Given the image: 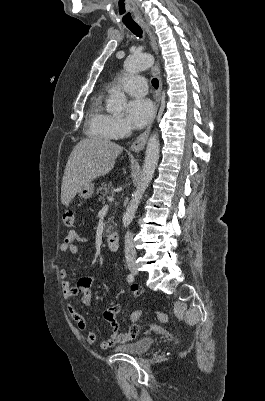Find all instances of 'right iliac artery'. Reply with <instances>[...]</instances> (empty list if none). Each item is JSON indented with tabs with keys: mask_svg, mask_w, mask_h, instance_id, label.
Segmentation results:
<instances>
[{
	"mask_svg": "<svg viewBox=\"0 0 265 401\" xmlns=\"http://www.w3.org/2000/svg\"><path fill=\"white\" fill-rule=\"evenodd\" d=\"M127 281H128L129 283H133V281H134V276H133L132 274H128V276H127Z\"/></svg>",
	"mask_w": 265,
	"mask_h": 401,
	"instance_id": "1",
	"label": "right iliac artery"
}]
</instances>
